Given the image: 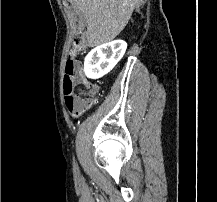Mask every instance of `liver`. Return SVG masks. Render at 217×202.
<instances>
[{"instance_id": "6515ba94", "label": "liver", "mask_w": 217, "mask_h": 202, "mask_svg": "<svg viewBox=\"0 0 217 202\" xmlns=\"http://www.w3.org/2000/svg\"><path fill=\"white\" fill-rule=\"evenodd\" d=\"M77 14L87 22L88 46L111 42L127 26L140 0H69Z\"/></svg>"}]
</instances>
